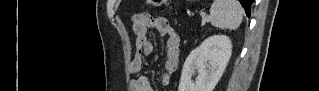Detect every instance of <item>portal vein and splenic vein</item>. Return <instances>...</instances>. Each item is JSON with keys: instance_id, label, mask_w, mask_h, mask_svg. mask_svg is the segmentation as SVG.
Instances as JSON below:
<instances>
[{"instance_id": "obj_1", "label": "portal vein and splenic vein", "mask_w": 319, "mask_h": 91, "mask_svg": "<svg viewBox=\"0 0 319 91\" xmlns=\"http://www.w3.org/2000/svg\"><path fill=\"white\" fill-rule=\"evenodd\" d=\"M209 19H210V18L206 17V18H205V21H208Z\"/></svg>"}]
</instances>
